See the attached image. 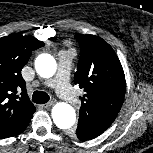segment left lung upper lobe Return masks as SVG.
<instances>
[{"label": "left lung upper lobe", "mask_w": 153, "mask_h": 153, "mask_svg": "<svg viewBox=\"0 0 153 153\" xmlns=\"http://www.w3.org/2000/svg\"><path fill=\"white\" fill-rule=\"evenodd\" d=\"M80 59L74 83L85 94L79 111L76 136L91 140L102 134L118 115L125 96V76L121 63L108 43L94 35L76 34Z\"/></svg>", "instance_id": "5c2ea615"}]
</instances>
